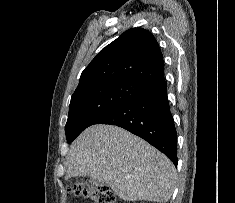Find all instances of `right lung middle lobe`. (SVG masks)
<instances>
[{
  "mask_svg": "<svg viewBox=\"0 0 235 203\" xmlns=\"http://www.w3.org/2000/svg\"><path fill=\"white\" fill-rule=\"evenodd\" d=\"M145 88L136 82L108 81L76 90L65 126L67 142H72L84 129Z\"/></svg>",
  "mask_w": 235,
  "mask_h": 203,
  "instance_id": "1",
  "label": "right lung middle lobe"
}]
</instances>
